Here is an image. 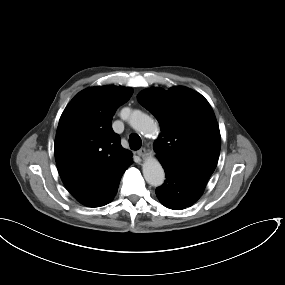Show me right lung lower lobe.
Instances as JSON below:
<instances>
[{"mask_svg":"<svg viewBox=\"0 0 285 285\" xmlns=\"http://www.w3.org/2000/svg\"><path fill=\"white\" fill-rule=\"evenodd\" d=\"M116 192H117V191H116ZM116 192H115L114 195H113L107 202H105L103 205H106L107 203H109L110 200L115 196ZM103 205H101V206H103Z\"/></svg>","mask_w":285,"mask_h":285,"instance_id":"98d812e1","label":"right lung lower lobe"}]
</instances>
